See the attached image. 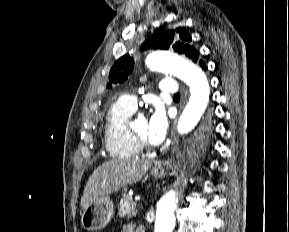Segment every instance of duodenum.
Returning <instances> with one entry per match:
<instances>
[{"label":"duodenum","mask_w":289,"mask_h":232,"mask_svg":"<svg viewBox=\"0 0 289 232\" xmlns=\"http://www.w3.org/2000/svg\"><path fill=\"white\" fill-rule=\"evenodd\" d=\"M137 232H145V229L143 227H138Z\"/></svg>","instance_id":"1"}]
</instances>
